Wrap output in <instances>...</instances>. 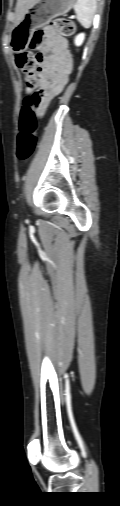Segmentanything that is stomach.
I'll list each match as a JSON object with an SVG mask.
<instances>
[{
  "mask_svg": "<svg viewBox=\"0 0 120 506\" xmlns=\"http://www.w3.org/2000/svg\"><path fill=\"white\" fill-rule=\"evenodd\" d=\"M76 0H36L22 20L15 24L10 34V48L16 54L28 49L35 28L50 19L64 15L74 6Z\"/></svg>",
  "mask_w": 120,
  "mask_h": 506,
  "instance_id": "0dacf381",
  "label": "stomach"
}]
</instances>
